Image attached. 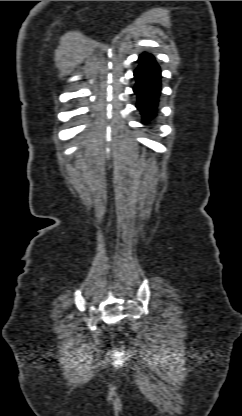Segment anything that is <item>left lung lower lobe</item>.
I'll use <instances>...</instances> for the list:
<instances>
[{
  "label": "left lung lower lobe",
  "instance_id": "left-lung-lower-lobe-1",
  "mask_svg": "<svg viewBox=\"0 0 242 416\" xmlns=\"http://www.w3.org/2000/svg\"><path fill=\"white\" fill-rule=\"evenodd\" d=\"M138 62L139 66L134 71L136 85L133 91L137 95L136 107L142 115V123L148 124L156 117L158 111L161 71L151 54H141Z\"/></svg>",
  "mask_w": 242,
  "mask_h": 416
}]
</instances>
